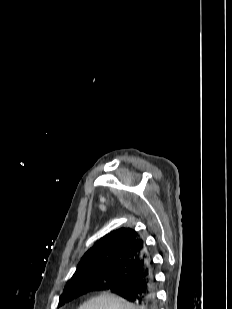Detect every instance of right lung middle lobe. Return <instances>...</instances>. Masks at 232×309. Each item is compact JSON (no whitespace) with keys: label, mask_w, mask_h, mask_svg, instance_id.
Listing matches in <instances>:
<instances>
[{"label":"right lung middle lobe","mask_w":232,"mask_h":309,"mask_svg":"<svg viewBox=\"0 0 232 309\" xmlns=\"http://www.w3.org/2000/svg\"><path fill=\"white\" fill-rule=\"evenodd\" d=\"M127 279L128 276L123 273L113 275L107 271L84 273L68 281V284L60 296L58 306H62L65 303H68L73 299L85 294L89 287L95 288L102 286L105 283V280H109L110 282L115 281L124 283Z\"/></svg>","instance_id":"1"}]
</instances>
